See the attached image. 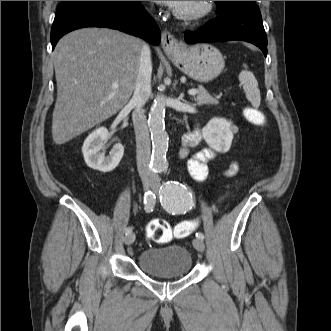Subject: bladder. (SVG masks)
<instances>
[{"label":"bladder","mask_w":331,"mask_h":331,"mask_svg":"<svg viewBox=\"0 0 331 331\" xmlns=\"http://www.w3.org/2000/svg\"><path fill=\"white\" fill-rule=\"evenodd\" d=\"M138 265L151 278H181L191 272L193 259L185 246L175 243L144 249Z\"/></svg>","instance_id":"1"}]
</instances>
